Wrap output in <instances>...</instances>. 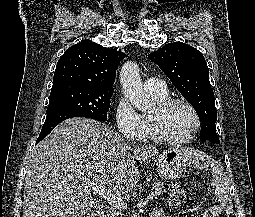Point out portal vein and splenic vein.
I'll list each match as a JSON object with an SVG mask.
<instances>
[{
  "mask_svg": "<svg viewBox=\"0 0 255 217\" xmlns=\"http://www.w3.org/2000/svg\"><path fill=\"white\" fill-rule=\"evenodd\" d=\"M87 185L92 188L96 193H98L102 198H104L111 206L119 210H126L127 204L119 197L112 194L108 188L104 185L97 184L95 182L88 181ZM152 200L151 196H148L141 202L137 204V207H143L147 205Z\"/></svg>",
  "mask_w": 255,
  "mask_h": 217,
  "instance_id": "1",
  "label": "portal vein and splenic vein"
}]
</instances>
